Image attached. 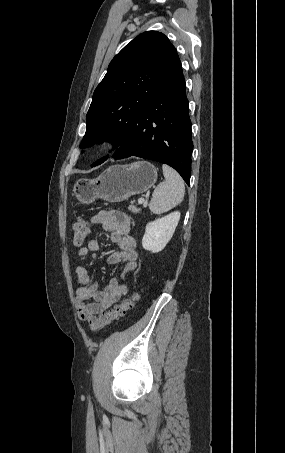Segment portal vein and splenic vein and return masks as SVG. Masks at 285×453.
<instances>
[{
    "instance_id": "obj_1",
    "label": "portal vein and splenic vein",
    "mask_w": 285,
    "mask_h": 453,
    "mask_svg": "<svg viewBox=\"0 0 285 453\" xmlns=\"http://www.w3.org/2000/svg\"><path fill=\"white\" fill-rule=\"evenodd\" d=\"M145 203V199L144 198H139L138 199V204H144Z\"/></svg>"
}]
</instances>
